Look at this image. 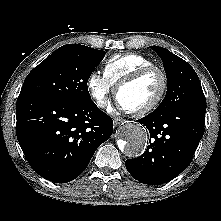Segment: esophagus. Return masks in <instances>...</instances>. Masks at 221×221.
<instances>
[{
    "mask_svg": "<svg viewBox=\"0 0 221 221\" xmlns=\"http://www.w3.org/2000/svg\"><path fill=\"white\" fill-rule=\"evenodd\" d=\"M123 121H124V119L119 118V117H116V118H114V120H113L115 126L120 125Z\"/></svg>",
    "mask_w": 221,
    "mask_h": 221,
    "instance_id": "esophagus-1",
    "label": "esophagus"
}]
</instances>
